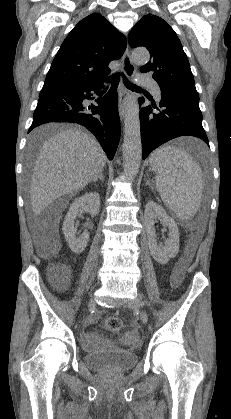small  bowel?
<instances>
[{"label": "small bowel", "mask_w": 231, "mask_h": 419, "mask_svg": "<svg viewBox=\"0 0 231 419\" xmlns=\"http://www.w3.org/2000/svg\"><path fill=\"white\" fill-rule=\"evenodd\" d=\"M100 313H94L86 322V329L84 330L83 334V346L87 350H94L99 345L108 343L109 340L105 337L98 335L95 332L89 331L87 328L96 324V321L99 317Z\"/></svg>", "instance_id": "c3829d8e"}]
</instances>
